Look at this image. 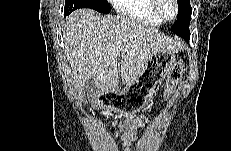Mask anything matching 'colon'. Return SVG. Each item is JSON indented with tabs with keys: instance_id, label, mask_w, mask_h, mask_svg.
<instances>
[{
	"instance_id": "1",
	"label": "colon",
	"mask_w": 231,
	"mask_h": 151,
	"mask_svg": "<svg viewBox=\"0 0 231 151\" xmlns=\"http://www.w3.org/2000/svg\"><path fill=\"white\" fill-rule=\"evenodd\" d=\"M184 72V65L182 62L176 63L173 68L170 70L167 83H166V90L165 95L166 97H170L173 93L175 87L180 82Z\"/></svg>"
}]
</instances>
